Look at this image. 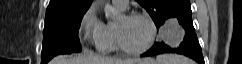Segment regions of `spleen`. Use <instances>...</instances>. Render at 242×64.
<instances>
[{
	"instance_id": "spleen-1",
	"label": "spleen",
	"mask_w": 242,
	"mask_h": 64,
	"mask_svg": "<svg viewBox=\"0 0 242 64\" xmlns=\"http://www.w3.org/2000/svg\"><path fill=\"white\" fill-rule=\"evenodd\" d=\"M157 64H192L190 60L187 58L180 56V55H174V54H164L159 55L156 58Z\"/></svg>"
}]
</instances>
